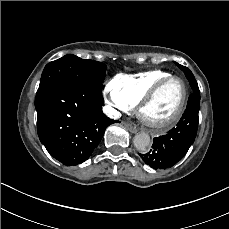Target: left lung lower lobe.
Segmentation results:
<instances>
[{
  "label": "left lung lower lobe",
  "mask_w": 229,
  "mask_h": 229,
  "mask_svg": "<svg viewBox=\"0 0 229 229\" xmlns=\"http://www.w3.org/2000/svg\"><path fill=\"white\" fill-rule=\"evenodd\" d=\"M192 93L187 107L176 128L166 135L154 138L152 149L146 154H140L143 161L154 169H165L179 162L193 144L198 128V112L200 106V91L190 70L185 72Z\"/></svg>",
  "instance_id": "1"
}]
</instances>
